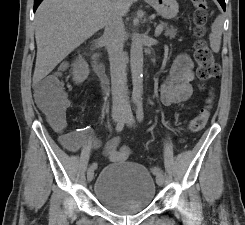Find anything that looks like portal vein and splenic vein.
Listing matches in <instances>:
<instances>
[{
	"instance_id": "18ae733b",
	"label": "portal vein and splenic vein",
	"mask_w": 245,
	"mask_h": 225,
	"mask_svg": "<svg viewBox=\"0 0 245 225\" xmlns=\"http://www.w3.org/2000/svg\"><path fill=\"white\" fill-rule=\"evenodd\" d=\"M164 29V25L163 24H159L157 27H156V30H155V35L156 36H159L161 34V32L163 31Z\"/></svg>"
}]
</instances>
